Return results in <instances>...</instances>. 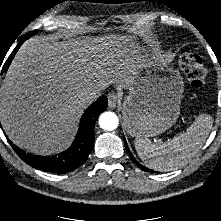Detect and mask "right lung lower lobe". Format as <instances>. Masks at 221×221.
<instances>
[{
	"mask_svg": "<svg viewBox=\"0 0 221 221\" xmlns=\"http://www.w3.org/2000/svg\"><path fill=\"white\" fill-rule=\"evenodd\" d=\"M108 106L107 97L94 102L83 114L76 138L66 150L53 156H33L26 154L11 142L18 155L29 165L47 172L67 173L84 164L94 146V126L100 113Z\"/></svg>",
	"mask_w": 221,
	"mask_h": 221,
	"instance_id": "right-lung-lower-lobe-1",
	"label": "right lung lower lobe"
}]
</instances>
